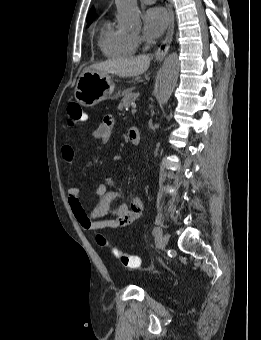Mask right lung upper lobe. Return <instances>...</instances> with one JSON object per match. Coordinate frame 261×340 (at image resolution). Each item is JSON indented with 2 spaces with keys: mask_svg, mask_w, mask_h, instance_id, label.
Listing matches in <instances>:
<instances>
[{
  "mask_svg": "<svg viewBox=\"0 0 261 340\" xmlns=\"http://www.w3.org/2000/svg\"><path fill=\"white\" fill-rule=\"evenodd\" d=\"M95 17V10L92 8L88 14L87 22L92 21Z\"/></svg>",
  "mask_w": 261,
  "mask_h": 340,
  "instance_id": "obj_1",
  "label": "right lung upper lobe"
}]
</instances>
